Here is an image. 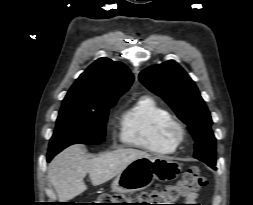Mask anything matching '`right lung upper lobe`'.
<instances>
[{
  "instance_id": "right-lung-upper-lobe-1",
  "label": "right lung upper lobe",
  "mask_w": 253,
  "mask_h": 205,
  "mask_svg": "<svg viewBox=\"0 0 253 205\" xmlns=\"http://www.w3.org/2000/svg\"><path fill=\"white\" fill-rule=\"evenodd\" d=\"M133 75L124 64L99 58L72 85L62 105L96 106L118 99L133 82Z\"/></svg>"
}]
</instances>
